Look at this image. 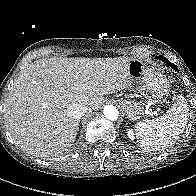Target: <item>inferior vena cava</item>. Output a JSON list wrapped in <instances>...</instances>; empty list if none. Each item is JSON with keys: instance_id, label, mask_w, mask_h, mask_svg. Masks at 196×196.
<instances>
[{"instance_id": "602c4592", "label": "inferior vena cava", "mask_w": 196, "mask_h": 196, "mask_svg": "<svg viewBox=\"0 0 196 196\" xmlns=\"http://www.w3.org/2000/svg\"><path fill=\"white\" fill-rule=\"evenodd\" d=\"M87 111L88 108L86 105L74 103L71 106H69L68 115L75 120H79L85 115Z\"/></svg>"}]
</instances>
